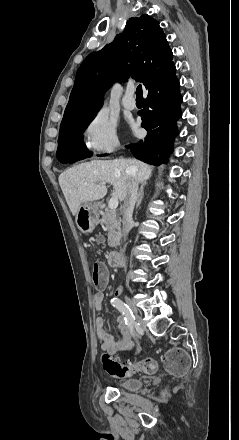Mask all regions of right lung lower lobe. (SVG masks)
<instances>
[{"instance_id":"obj_1","label":"right lung lower lobe","mask_w":239,"mask_h":440,"mask_svg":"<svg viewBox=\"0 0 239 440\" xmlns=\"http://www.w3.org/2000/svg\"><path fill=\"white\" fill-rule=\"evenodd\" d=\"M173 64L166 72L152 79L145 88L148 90L145 106L139 115L142 127L148 131L144 141L126 147L132 154L152 165L166 163L173 150V140L178 135L176 121L181 117L180 84ZM92 156L84 144L72 146L57 152L62 163H73Z\"/></svg>"}]
</instances>
